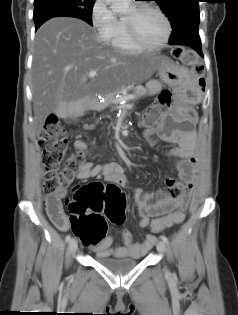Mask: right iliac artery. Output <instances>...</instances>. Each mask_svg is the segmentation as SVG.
Segmentation results:
<instances>
[{"label":"right iliac artery","instance_id":"82829eb1","mask_svg":"<svg viewBox=\"0 0 238 315\" xmlns=\"http://www.w3.org/2000/svg\"><path fill=\"white\" fill-rule=\"evenodd\" d=\"M71 240V236L70 235H67L66 236V242H69Z\"/></svg>","mask_w":238,"mask_h":315}]
</instances>
